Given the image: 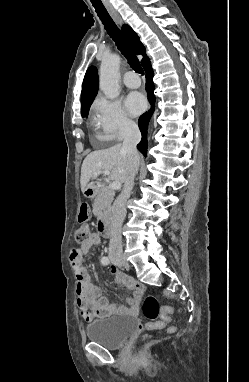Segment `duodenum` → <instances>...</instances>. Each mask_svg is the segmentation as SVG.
<instances>
[{
    "label": "duodenum",
    "mask_w": 249,
    "mask_h": 382,
    "mask_svg": "<svg viewBox=\"0 0 249 382\" xmlns=\"http://www.w3.org/2000/svg\"><path fill=\"white\" fill-rule=\"evenodd\" d=\"M89 188L94 189V195H95V187L93 185H91V186H89ZM98 230L103 237L111 238V236H112V225L107 219H100L98 221Z\"/></svg>",
    "instance_id": "obj_1"
}]
</instances>
